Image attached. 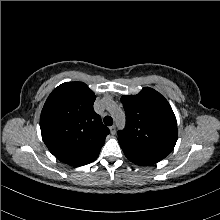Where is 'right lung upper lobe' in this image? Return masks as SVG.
<instances>
[{
	"label": "right lung upper lobe",
	"mask_w": 220,
	"mask_h": 220,
	"mask_svg": "<svg viewBox=\"0 0 220 220\" xmlns=\"http://www.w3.org/2000/svg\"><path fill=\"white\" fill-rule=\"evenodd\" d=\"M96 96L82 82H66L46 100L40 117L44 143L61 162L82 166L93 162L109 129L94 111Z\"/></svg>",
	"instance_id": "right-lung-upper-lobe-1"
}]
</instances>
